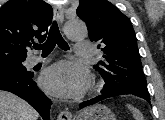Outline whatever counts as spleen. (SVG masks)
<instances>
[{"instance_id": "1", "label": "spleen", "mask_w": 165, "mask_h": 120, "mask_svg": "<svg viewBox=\"0 0 165 120\" xmlns=\"http://www.w3.org/2000/svg\"><path fill=\"white\" fill-rule=\"evenodd\" d=\"M127 107L132 112L133 117H134L135 120H144V117H143L142 113L138 109H136L135 107H133L130 104H128Z\"/></svg>"}]
</instances>
